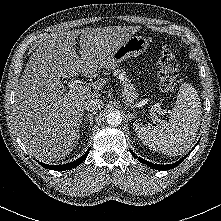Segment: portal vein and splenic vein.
<instances>
[{"label":"portal vein and splenic vein","instance_id":"1","mask_svg":"<svg viewBox=\"0 0 221 221\" xmlns=\"http://www.w3.org/2000/svg\"><path fill=\"white\" fill-rule=\"evenodd\" d=\"M68 86L70 87L71 90L78 92V93H87L90 91V87L87 85H84L83 82L79 81V80H75L72 82L68 83ZM158 114H162L165 113L163 112L159 106L157 105V107L155 108V110ZM157 116L153 115V118L156 119Z\"/></svg>","mask_w":221,"mask_h":221}]
</instances>
